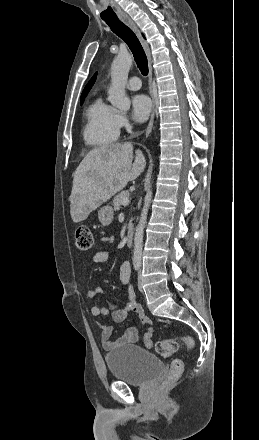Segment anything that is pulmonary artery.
I'll list each match as a JSON object with an SVG mask.
<instances>
[{"label":"pulmonary artery","mask_w":259,"mask_h":440,"mask_svg":"<svg viewBox=\"0 0 259 440\" xmlns=\"http://www.w3.org/2000/svg\"><path fill=\"white\" fill-rule=\"evenodd\" d=\"M141 87V80L137 76H132L127 82V88L130 90H138Z\"/></svg>","instance_id":"obj_1"}]
</instances>
